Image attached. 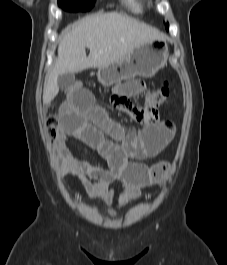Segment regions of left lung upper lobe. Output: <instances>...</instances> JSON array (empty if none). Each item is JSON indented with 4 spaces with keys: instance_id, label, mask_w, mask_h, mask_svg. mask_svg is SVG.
<instances>
[{
    "instance_id": "1",
    "label": "left lung upper lobe",
    "mask_w": 227,
    "mask_h": 265,
    "mask_svg": "<svg viewBox=\"0 0 227 265\" xmlns=\"http://www.w3.org/2000/svg\"><path fill=\"white\" fill-rule=\"evenodd\" d=\"M168 27H169V24H166V29H168Z\"/></svg>"
}]
</instances>
